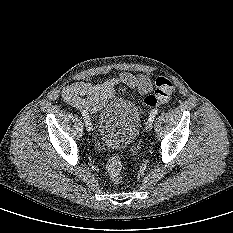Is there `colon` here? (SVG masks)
Here are the masks:
<instances>
[{"label":"colon","mask_w":233,"mask_h":233,"mask_svg":"<svg viewBox=\"0 0 233 233\" xmlns=\"http://www.w3.org/2000/svg\"><path fill=\"white\" fill-rule=\"evenodd\" d=\"M156 88L153 94L147 96L144 99V104L148 107H156L159 104L166 103L173 91L174 84L171 80L158 77L156 79ZM107 172L114 183H121L123 180L122 176V160L119 155H113L107 163Z\"/></svg>","instance_id":"colon-1"}]
</instances>
